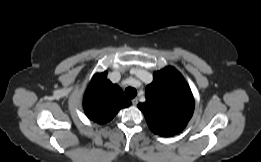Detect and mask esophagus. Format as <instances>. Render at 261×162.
I'll list each match as a JSON object with an SVG mask.
<instances>
[{"label":"esophagus","mask_w":261,"mask_h":162,"mask_svg":"<svg viewBox=\"0 0 261 162\" xmlns=\"http://www.w3.org/2000/svg\"><path fill=\"white\" fill-rule=\"evenodd\" d=\"M132 105L136 106L138 104V99L137 98H134L132 99Z\"/></svg>","instance_id":"1"}]
</instances>
